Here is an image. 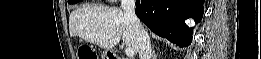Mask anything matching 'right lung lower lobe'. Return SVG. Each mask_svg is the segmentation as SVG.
<instances>
[{
  "instance_id": "right-lung-lower-lobe-1",
  "label": "right lung lower lobe",
  "mask_w": 261,
  "mask_h": 59,
  "mask_svg": "<svg viewBox=\"0 0 261 59\" xmlns=\"http://www.w3.org/2000/svg\"><path fill=\"white\" fill-rule=\"evenodd\" d=\"M204 0H137L136 14L155 34L179 46L191 43V29L184 23L193 17L199 22Z\"/></svg>"
}]
</instances>
